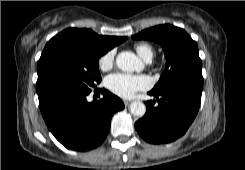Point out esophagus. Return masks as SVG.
Returning a JSON list of instances; mask_svg holds the SVG:
<instances>
[{
  "instance_id": "esophagus-1",
  "label": "esophagus",
  "mask_w": 245,
  "mask_h": 170,
  "mask_svg": "<svg viewBox=\"0 0 245 170\" xmlns=\"http://www.w3.org/2000/svg\"><path fill=\"white\" fill-rule=\"evenodd\" d=\"M123 102H124L125 106H128L130 104L129 100H124Z\"/></svg>"
}]
</instances>
